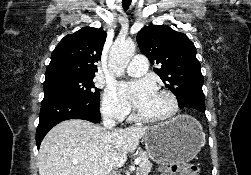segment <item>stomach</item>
<instances>
[{
  "label": "stomach",
  "instance_id": "1",
  "mask_svg": "<svg viewBox=\"0 0 251 175\" xmlns=\"http://www.w3.org/2000/svg\"><path fill=\"white\" fill-rule=\"evenodd\" d=\"M146 153L161 165L191 161L199 153L203 141V127L191 115H177L175 119L148 127L143 135Z\"/></svg>",
  "mask_w": 251,
  "mask_h": 175
}]
</instances>
